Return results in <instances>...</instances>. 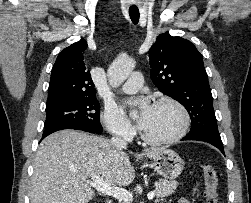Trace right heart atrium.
Here are the masks:
<instances>
[{
    "mask_svg": "<svg viewBox=\"0 0 251 203\" xmlns=\"http://www.w3.org/2000/svg\"><path fill=\"white\" fill-rule=\"evenodd\" d=\"M101 120L109 134L114 137L130 139L134 134L133 126L114 106H106L104 108Z\"/></svg>",
    "mask_w": 251,
    "mask_h": 203,
    "instance_id": "d8ad5b80",
    "label": "right heart atrium"
}]
</instances>
